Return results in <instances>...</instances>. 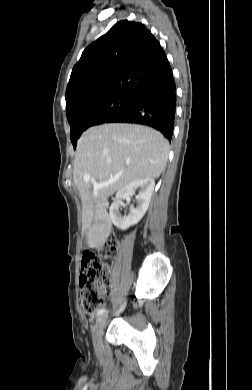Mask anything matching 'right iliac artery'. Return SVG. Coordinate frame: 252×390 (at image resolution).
<instances>
[{
  "instance_id": "1",
  "label": "right iliac artery",
  "mask_w": 252,
  "mask_h": 390,
  "mask_svg": "<svg viewBox=\"0 0 252 390\" xmlns=\"http://www.w3.org/2000/svg\"><path fill=\"white\" fill-rule=\"evenodd\" d=\"M102 314H107V310L106 309H100L97 313V315H102Z\"/></svg>"
}]
</instances>
